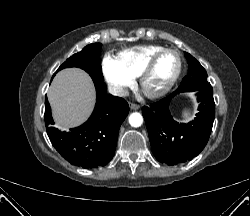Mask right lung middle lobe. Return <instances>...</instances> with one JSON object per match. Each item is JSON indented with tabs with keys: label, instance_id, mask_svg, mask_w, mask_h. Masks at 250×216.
Here are the masks:
<instances>
[{
	"label": "right lung middle lobe",
	"instance_id": "obj_1",
	"mask_svg": "<svg viewBox=\"0 0 250 216\" xmlns=\"http://www.w3.org/2000/svg\"><path fill=\"white\" fill-rule=\"evenodd\" d=\"M101 46L100 43L87 45L82 51L67 59L57 71L68 67H78L85 70L93 81L103 82L104 77L100 64Z\"/></svg>",
	"mask_w": 250,
	"mask_h": 216
}]
</instances>
